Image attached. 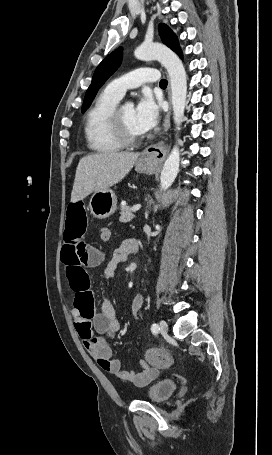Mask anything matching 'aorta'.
Here are the masks:
<instances>
[{
	"mask_svg": "<svg viewBox=\"0 0 272 455\" xmlns=\"http://www.w3.org/2000/svg\"><path fill=\"white\" fill-rule=\"evenodd\" d=\"M140 60H158L167 69L172 92L173 119L176 129L180 130L186 106L187 79L181 59L169 48L159 43H143L134 51ZM129 106H133L129 104ZM180 153L177 145L167 157L160 176L161 190H167L174 182L179 171Z\"/></svg>",
	"mask_w": 272,
	"mask_h": 455,
	"instance_id": "762f6f07",
	"label": "aorta"
}]
</instances>
